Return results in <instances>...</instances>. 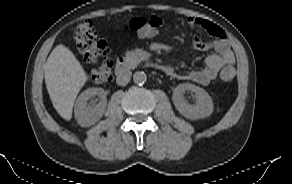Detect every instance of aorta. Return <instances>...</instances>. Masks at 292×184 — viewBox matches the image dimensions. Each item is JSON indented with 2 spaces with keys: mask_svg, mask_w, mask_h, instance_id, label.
Masks as SVG:
<instances>
[{
  "mask_svg": "<svg viewBox=\"0 0 292 184\" xmlns=\"http://www.w3.org/2000/svg\"><path fill=\"white\" fill-rule=\"evenodd\" d=\"M147 80V76L143 71H136L133 74V81L136 84H144Z\"/></svg>",
  "mask_w": 292,
  "mask_h": 184,
  "instance_id": "1",
  "label": "aorta"
}]
</instances>
